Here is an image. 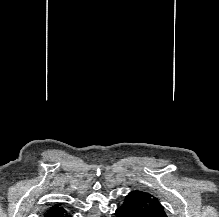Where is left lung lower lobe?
Masks as SVG:
<instances>
[{
  "label": "left lung lower lobe",
  "instance_id": "obj_1",
  "mask_svg": "<svg viewBox=\"0 0 219 217\" xmlns=\"http://www.w3.org/2000/svg\"><path fill=\"white\" fill-rule=\"evenodd\" d=\"M117 217H142L139 215L134 207H132L129 203L123 204L116 210Z\"/></svg>",
  "mask_w": 219,
  "mask_h": 217
}]
</instances>
